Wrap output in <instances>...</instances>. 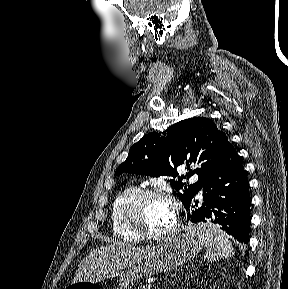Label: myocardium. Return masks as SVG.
<instances>
[{"label":"myocardium","mask_w":288,"mask_h":289,"mask_svg":"<svg viewBox=\"0 0 288 289\" xmlns=\"http://www.w3.org/2000/svg\"><path fill=\"white\" fill-rule=\"evenodd\" d=\"M149 198H160L168 201L173 207L174 219L172 225L160 232H151L142 227L139 211L142 203ZM180 206L169 193L153 189H140L126 204L124 209V220L128 229L142 240H158L173 235L179 226Z\"/></svg>","instance_id":"f54148a6"}]
</instances>
